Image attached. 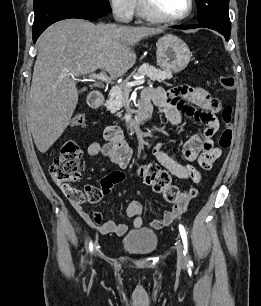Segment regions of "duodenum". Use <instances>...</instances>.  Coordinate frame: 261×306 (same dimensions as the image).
Masks as SVG:
<instances>
[{"instance_id":"1","label":"duodenum","mask_w":261,"mask_h":306,"mask_svg":"<svg viewBox=\"0 0 261 306\" xmlns=\"http://www.w3.org/2000/svg\"><path fill=\"white\" fill-rule=\"evenodd\" d=\"M104 101V94L101 91L92 92L88 96V105L91 108H98ZM152 113V106L145 100H141L135 114L130 118L128 122L129 127H136L142 122L147 120Z\"/></svg>"}]
</instances>
